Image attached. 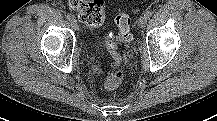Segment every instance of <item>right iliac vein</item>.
I'll return each instance as SVG.
<instances>
[{
    "label": "right iliac vein",
    "mask_w": 217,
    "mask_h": 121,
    "mask_svg": "<svg viewBox=\"0 0 217 121\" xmlns=\"http://www.w3.org/2000/svg\"><path fill=\"white\" fill-rule=\"evenodd\" d=\"M71 24H72V27H73L75 30H78L79 26H78V23H77L76 20L71 21Z\"/></svg>",
    "instance_id": "1"
}]
</instances>
